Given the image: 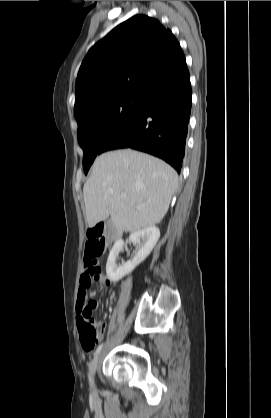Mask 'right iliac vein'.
<instances>
[{"mask_svg": "<svg viewBox=\"0 0 271 418\" xmlns=\"http://www.w3.org/2000/svg\"><path fill=\"white\" fill-rule=\"evenodd\" d=\"M99 359H100V356H96L90 364L89 376L92 379V381L94 379V376L98 367Z\"/></svg>", "mask_w": 271, "mask_h": 418, "instance_id": "1", "label": "right iliac vein"}]
</instances>
